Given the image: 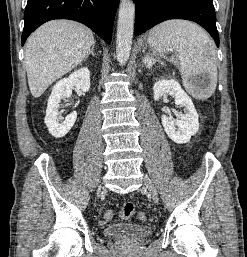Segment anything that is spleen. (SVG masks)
I'll list each match as a JSON object with an SVG mask.
<instances>
[{
	"mask_svg": "<svg viewBox=\"0 0 247 257\" xmlns=\"http://www.w3.org/2000/svg\"><path fill=\"white\" fill-rule=\"evenodd\" d=\"M149 45L159 53L170 48L180 61L184 87L199 99H207L217 84V57L211 38L198 25L185 20H169L154 27L148 36ZM206 74L203 90H194L192 78Z\"/></svg>",
	"mask_w": 247,
	"mask_h": 257,
	"instance_id": "obj_1",
	"label": "spleen"
}]
</instances>
